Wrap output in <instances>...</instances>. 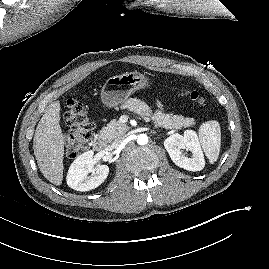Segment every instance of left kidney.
I'll return each instance as SVG.
<instances>
[{
	"label": "left kidney",
	"mask_w": 269,
	"mask_h": 269,
	"mask_svg": "<svg viewBox=\"0 0 269 269\" xmlns=\"http://www.w3.org/2000/svg\"><path fill=\"white\" fill-rule=\"evenodd\" d=\"M164 147L171 160L180 168L195 172L201 171L205 166L198 136L193 130L185 131L183 136L172 134L164 141ZM182 149L190 151L192 156L188 157Z\"/></svg>",
	"instance_id": "5707ae66"
}]
</instances>
